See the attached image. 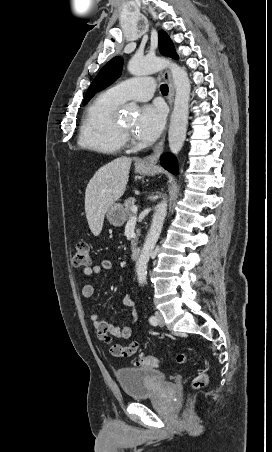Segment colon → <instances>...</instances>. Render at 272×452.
<instances>
[{
  "label": "colon",
  "mask_w": 272,
  "mask_h": 452,
  "mask_svg": "<svg viewBox=\"0 0 272 452\" xmlns=\"http://www.w3.org/2000/svg\"><path fill=\"white\" fill-rule=\"evenodd\" d=\"M73 264L76 267H86L92 264V255L90 252L89 244L87 242L80 241L77 243L75 253L73 256ZM137 350H138L137 342H131L127 346H115L113 348V351L121 356H132L137 352ZM191 359L192 357L185 353H179L176 357V361L179 364L186 363ZM135 363L139 366L155 367L158 364V360L155 356L143 354L135 360ZM207 381H208L207 375L201 372L192 379L191 387L194 390L200 389L203 386H205Z\"/></svg>",
  "instance_id": "1"
}]
</instances>
